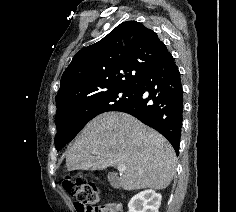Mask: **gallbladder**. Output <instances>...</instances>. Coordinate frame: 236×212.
I'll return each instance as SVG.
<instances>
[{
  "label": "gallbladder",
  "mask_w": 236,
  "mask_h": 212,
  "mask_svg": "<svg viewBox=\"0 0 236 212\" xmlns=\"http://www.w3.org/2000/svg\"><path fill=\"white\" fill-rule=\"evenodd\" d=\"M108 180H109L110 184L113 185V186H118L119 185L118 178L113 173L108 174Z\"/></svg>",
  "instance_id": "1"
}]
</instances>
